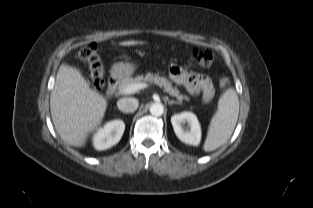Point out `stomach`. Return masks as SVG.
<instances>
[{"instance_id": "obj_1", "label": "stomach", "mask_w": 313, "mask_h": 208, "mask_svg": "<svg viewBox=\"0 0 313 208\" xmlns=\"http://www.w3.org/2000/svg\"><path fill=\"white\" fill-rule=\"evenodd\" d=\"M134 71L135 66L130 63H118L112 69V73L117 76L131 75Z\"/></svg>"}]
</instances>
